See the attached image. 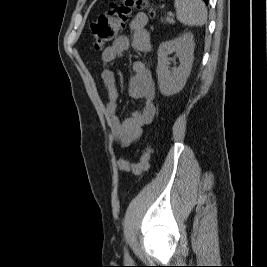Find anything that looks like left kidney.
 Wrapping results in <instances>:
<instances>
[{
    "label": "left kidney",
    "instance_id": "left-kidney-1",
    "mask_svg": "<svg viewBox=\"0 0 267 267\" xmlns=\"http://www.w3.org/2000/svg\"><path fill=\"white\" fill-rule=\"evenodd\" d=\"M194 40L192 33H186L171 41L163 42L158 48V64L156 73L158 76L159 90L162 95L170 96L178 93L186 84L193 64ZM175 52L180 65L170 70L168 55Z\"/></svg>",
    "mask_w": 267,
    "mask_h": 267
}]
</instances>
